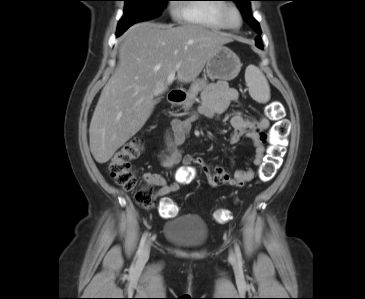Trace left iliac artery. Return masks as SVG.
Listing matches in <instances>:
<instances>
[{
	"instance_id": "44dca946",
	"label": "left iliac artery",
	"mask_w": 365,
	"mask_h": 299,
	"mask_svg": "<svg viewBox=\"0 0 365 299\" xmlns=\"http://www.w3.org/2000/svg\"><path fill=\"white\" fill-rule=\"evenodd\" d=\"M235 251H236V255H237L238 260L241 262V259H242L241 251H240V248L237 244L235 245Z\"/></svg>"
}]
</instances>
